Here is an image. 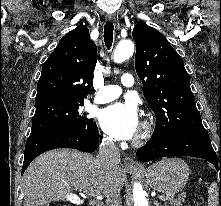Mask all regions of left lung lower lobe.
I'll list each match as a JSON object with an SVG mask.
<instances>
[{
	"mask_svg": "<svg viewBox=\"0 0 221 206\" xmlns=\"http://www.w3.org/2000/svg\"><path fill=\"white\" fill-rule=\"evenodd\" d=\"M136 155L143 162L169 156H194L210 161L217 170L219 163L207 132L180 133L166 137L151 138L137 151Z\"/></svg>",
	"mask_w": 221,
	"mask_h": 206,
	"instance_id": "1",
	"label": "left lung lower lobe"
}]
</instances>
